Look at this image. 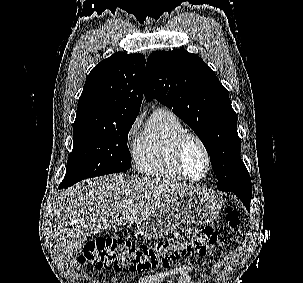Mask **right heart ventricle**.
Segmentation results:
<instances>
[{"label": "right heart ventricle", "mask_w": 303, "mask_h": 283, "mask_svg": "<svg viewBox=\"0 0 303 283\" xmlns=\"http://www.w3.org/2000/svg\"><path fill=\"white\" fill-rule=\"evenodd\" d=\"M185 132V126L174 113L166 109L155 110L134 150L137 169L152 177L187 180L175 157L176 143Z\"/></svg>", "instance_id": "1"}]
</instances>
